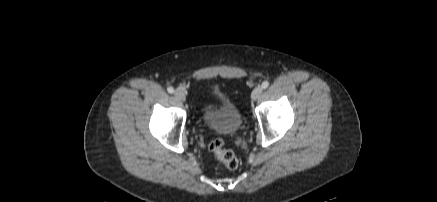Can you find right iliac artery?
Listing matches in <instances>:
<instances>
[{
  "instance_id": "1",
  "label": "right iliac artery",
  "mask_w": 437,
  "mask_h": 202,
  "mask_svg": "<svg viewBox=\"0 0 437 202\" xmlns=\"http://www.w3.org/2000/svg\"><path fill=\"white\" fill-rule=\"evenodd\" d=\"M167 91H168L169 93H173V92H174V89H173V87H168V88H167Z\"/></svg>"
}]
</instances>
